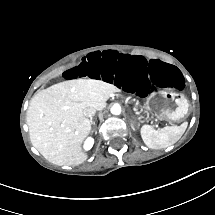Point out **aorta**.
I'll return each instance as SVG.
<instances>
[{"instance_id": "obj_1", "label": "aorta", "mask_w": 215, "mask_h": 215, "mask_svg": "<svg viewBox=\"0 0 215 215\" xmlns=\"http://www.w3.org/2000/svg\"><path fill=\"white\" fill-rule=\"evenodd\" d=\"M110 112L113 115H120L121 114V106L119 104H114L111 109Z\"/></svg>"}]
</instances>
